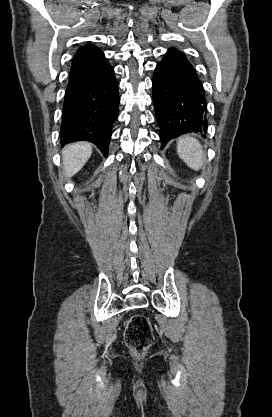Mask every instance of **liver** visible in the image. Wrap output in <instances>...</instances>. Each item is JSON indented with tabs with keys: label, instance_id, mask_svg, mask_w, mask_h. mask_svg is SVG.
<instances>
[{
	"label": "liver",
	"instance_id": "liver-1",
	"mask_svg": "<svg viewBox=\"0 0 272 417\" xmlns=\"http://www.w3.org/2000/svg\"><path fill=\"white\" fill-rule=\"evenodd\" d=\"M92 153V147L87 142L74 143L62 150L64 173L72 177L82 169Z\"/></svg>",
	"mask_w": 272,
	"mask_h": 417
}]
</instances>
